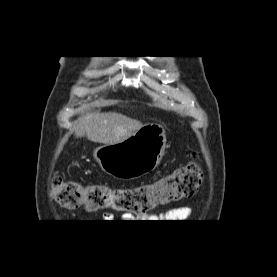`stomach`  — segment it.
<instances>
[{
	"instance_id": "obj_1",
	"label": "stomach",
	"mask_w": 277,
	"mask_h": 277,
	"mask_svg": "<svg viewBox=\"0 0 277 277\" xmlns=\"http://www.w3.org/2000/svg\"><path fill=\"white\" fill-rule=\"evenodd\" d=\"M165 147L164 127L160 124H146L122 142L96 148L93 156L107 174L135 179L159 165Z\"/></svg>"
}]
</instances>
